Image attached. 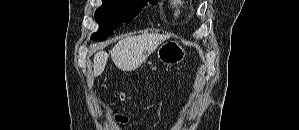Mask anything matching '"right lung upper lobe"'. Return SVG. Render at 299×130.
<instances>
[{
	"instance_id": "1",
	"label": "right lung upper lobe",
	"mask_w": 299,
	"mask_h": 130,
	"mask_svg": "<svg viewBox=\"0 0 299 130\" xmlns=\"http://www.w3.org/2000/svg\"><path fill=\"white\" fill-rule=\"evenodd\" d=\"M131 1H140V2H147V0H131ZM158 0H150V2H157Z\"/></svg>"
}]
</instances>
